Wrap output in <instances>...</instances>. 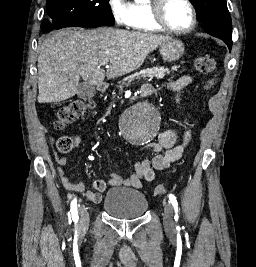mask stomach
<instances>
[{"mask_svg": "<svg viewBox=\"0 0 256 267\" xmlns=\"http://www.w3.org/2000/svg\"><path fill=\"white\" fill-rule=\"evenodd\" d=\"M160 54L165 62H176L184 54L185 46L181 40L169 38L159 46Z\"/></svg>", "mask_w": 256, "mask_h": 267, "instance_id": "1", "label": "stomach"}]
</instances>
